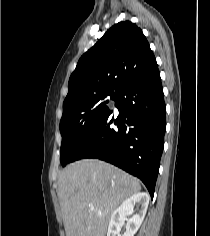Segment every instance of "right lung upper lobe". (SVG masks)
<instances>
[{"mask_svg": "<svg viewBox=\"0 0 210 236\" xmlns=\"http://www.w3.org/2000/svg\"><path fill=\"white\" fill-rule=\"evenodd\" d=\"M155 66L142 30L130 21L115 24L79 59L69 79L63 113L91 97L116 93Z\"/></svg>", "mask_w": 210, "mask_h": 236, "instance_id": "1", "label": "right lung upper lobe"}]
</instances>
